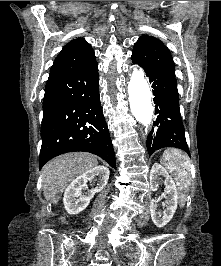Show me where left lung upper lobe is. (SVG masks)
I'll return each mask as SVG.
<instances>
[{"instance_id":"5c2ea615","label":"left lung upper lobe","mask_w":221,"mask_h":266,"mask_svg":"<svg viewBox=\"0 0 221 266\" xmlns=\"http://www.w3.org/2000/svg\"><path fill=\"white\" fill-rule=\"evenodd\" d=\"M132 59L145 71L175 76V63L169 49L159 39L142 35L134 44Z\"/></svg>"}]
</instances>
